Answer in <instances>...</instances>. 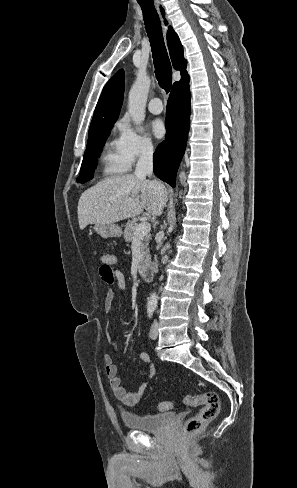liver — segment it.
I'll list each match as a JSON object with an SVG mask.
<instances>
[{
	"label": "liver",
	"instance_id": "obj_1",
	"mask_svg": "<svg viewBox=\"0 0 297 488\" xmlns=\"http://www.w3.org/2000/svg\"><path fill=\"white\" fill-rule=\"evenodd\" d=\"M168 200L166 187L133 174L106 178L84 191L78 202L79 227L113 224L146 210L159 216Z\"/></svg>",
	"mask_w": 297,
	"mask_h": 488
}]
</instances>
